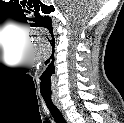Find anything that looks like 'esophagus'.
<instances>
[{
  "label": "esophagus",
  "instance_id": "34e87169",
  "mask_svg": "<svg viewBox=\"0 0 124 123\" xmlns=\"http://www.w3.org/2000/svg\"><path fill=\"white\" fill-rule=\"evenodd\" d=\"M54 104L57 106V108L60 110V112L62 113V115H63V117L65 118V120L67 121V122H69V120H68V118H67V116H66V113H65V111H64V109H63V107H62V105L60 104V102L59 101H57V100H55L54 101Z\"/></svg>",
  "mask_w": 124,
  "mask_h": 123
}]
</instances>
